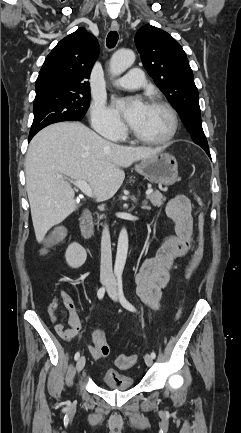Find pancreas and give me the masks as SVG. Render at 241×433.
I'll return each instance as SVG.
<instances>
[{"instance_id": "cf45deb5", "label": "pancreas", "mask_w": 241, "mask_h": 433, "mask_svg": "<svg viewBox=\"0 0 241 433\" xmlns=\"http://www.w3.org/2000/svg\"><path fill=\"white\" fill-rule=\"evenodd\" d=\"M153 206L161 207L164 204L166 198L159 192H154L147 197Z\"/></svg>"}]
</instances>
